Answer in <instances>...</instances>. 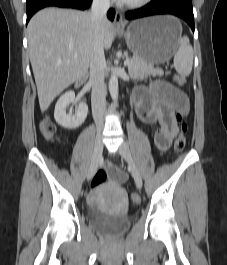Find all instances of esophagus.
<instances>
[{"label": "esophagus", "instance_id": "34e87169", "mask_svg": "<svg viewBox=\"0 0 227 265\" xmlns=\"http://www.w3.org/2000/svg\"><path fill=\"white\" fill-rule=\"evenodd\" d=\"M114 27L117 29H124L125 24L122 18V14L118 11L115 13V18H114Z\"/></svg>", "mask_w": 227, "mask_h": 265}]
</instances>
